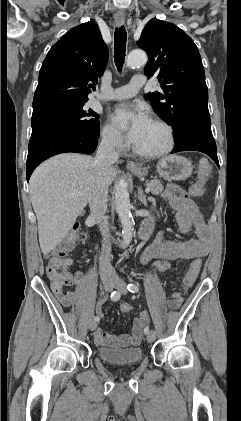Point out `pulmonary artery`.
<instances>
[{"label":"pulmonary artery","instance_id":"pulmonary-artery-1","mask_svg":"<svg viewBox=\"0 0 241 421\" xmlns=\"http://www.w3.org/2000/svg\"><path fill=\"white\" fill-rule=\"evenodd\" d=\"M144 85V78L142 76H135L132 80L124 86L116 88L109 93L99 94L96 98L98 100H122L135 96Z\"/></svg>","mask_w":241,"mask_h":421}]
</instances>
